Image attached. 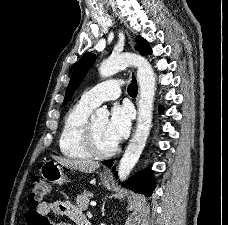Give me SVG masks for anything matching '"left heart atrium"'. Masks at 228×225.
I'll use <instances>...</instances> for the list:
<instances>
[{
	"label": "left heart atrium",
	"instance_id": "39dd6f15",
	"mask_svg": "<svg viewBox=\"0 0 228 225\" xmlns=\"http://www.w3.org/2000/svg\"><path fill=\"white\" fill-rule=\"evenodd\" d=\"M131 110L126 105H116L111 110L107 122L106 135L113 142H119L127 137L131 127Z\"/></svg>",
	"mask_w": 228,
	"mask_h": 225
}]
</instances>
